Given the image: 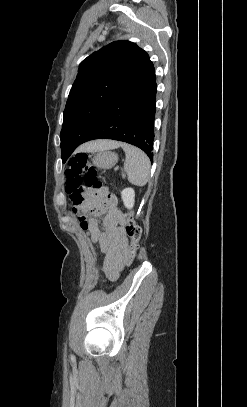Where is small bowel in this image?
I'll list each match as a JSON object with an SVG mask.
<instances>
[{
	"mask_svg": "<svg viewBox=\"0 0 247 407\" xmlns=\"http://www.w3.org/2000/svg\"><path fill=\"white\" fill-rule=\"evenodd\" d=\"M82 230L92 244H99L104 254L103 270L109 279H116L128 264V238L124 231L125 219L114 196L107 191L91 192L85 201L73 203ZM98 217H102L99 221Z\"/></svg>",
	"mask_w": 247,
	"mask_h": 407,
	"instance_id": "obj_1",
	"label": "small bowel"
}]
</instances>
